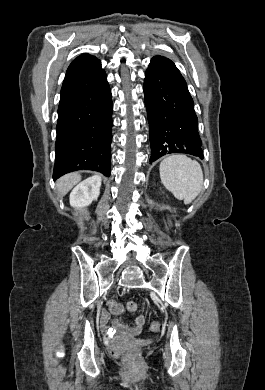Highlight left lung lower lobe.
<instances>
[{
    "mask_svg": "<svg viewBox=\"0 0 265 390\" xmlns=\"http://www.w3.org/2000/svg\"><path fill=\"white\" fill-rule=\"evenodd\" d=\"M143 89L149 122L150 163L172 153L203 159L194 103L175 64L163 56L153 57L145 73Z\"/></svg>",
    "mask_w": 265,
    "mask_h": 390,
    "instance_id": "left-lung-lower-lobe-1",
    "label": "left lung lower lobe"
}]
</instances>
